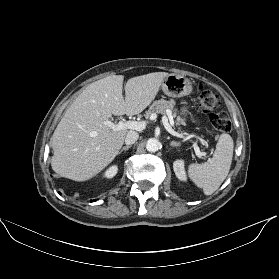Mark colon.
<instances>
[{"label": "colon", "mask_w": 279, "mask_h": 279, "mask_svg": "<svg viewBox=\"0 0 279 279\" xmlns=\"http://www.w3.org/2000/svg\"><path fill=\"white\" fill-rule=\"evenodd\" d=\"M199 109L202 113L208 114L212 126L215 130L226 133L231 129V121L228 114L220 111V97L208 89H199L198 95Z\"/></svg>", "instance_id": "colon-1"}]
</instances>
